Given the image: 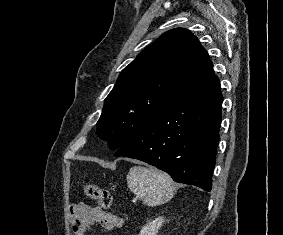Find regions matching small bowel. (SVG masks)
I'll list each match as a JSON object with an SVG mask.
<instances>
[{
	"instance_id": "obj_1",
	"label": "small bowel",
	"mask_w": 283,
	"mask_h": 235,
	"mask_svg": "<svg viewBox=\"0 0 283 235\" xmlns=\"http://www.w3.org/2000/svg\"><path fill=\"white\" fill-rule=\"evenodd\" d=\"M69 217L74 235H86L88 228L94 223H99L109 231L121 228L124 223L122 217L86 204L71 205L69 207Z\"/></svg>"
}]
</instances>
